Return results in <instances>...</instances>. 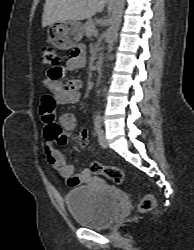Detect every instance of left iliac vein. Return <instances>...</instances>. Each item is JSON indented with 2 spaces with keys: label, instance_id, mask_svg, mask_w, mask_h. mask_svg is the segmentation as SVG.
Segmentation results:
<instances>
[{
  "label": "left iliac vein",
  "instance_id": "1",
  "mask_svg": "<svg viewBox=\"0 0 194 250\" xmlns=\"http://www.w3.org/2000/svg\"><path fill=\"white\" fill-rule=\"evenodd\" d=\"M98 141L102 148L108 147V142H107L106 135L103 129H100L98 132Z\"/></svg>",
  "mask_w": 194,
  "mask_h": 250
}]
</instances>
